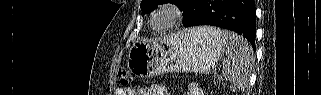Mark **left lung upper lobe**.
I'll use <instances>...</instances> for the list:
<instances>
[{
	"label": "left lung upper lobe",
	"instance_id": "obj_1",
	"mask_svg": "<svg viewBox=\"0 0 321 95\" xmlns=\"http://www.w3.org/2000/svg\"><path fill=\"white\" fill-rule=\"evenodd\" d=\"M189 1L190 0H142L140 7L142 12L146 14L148 12H151L159 4L172 3L177 5L178 8L182 11L189 3Z\"/></svg>",
	"mask_w": 321,
	"mask_h": 95
}]
</instances>
